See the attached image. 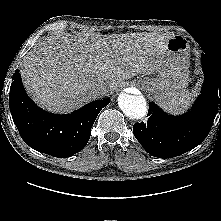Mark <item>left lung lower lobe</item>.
Listing matches in <instances>:
<instances>
[{"mask_svg": "<svg viewBox=\"0 0 221 221\" xmlns=\"http://www.w3.org/2000/svg\"><path fill=\"white\" fill-rule=\"evenodd\" d=\"M202 68L203 87L191 110L170 116L150 102L147 123L134 124L133 133L149 154L164 159L176 157L198 146L208 135L221 104V77L205 54Z\"/></svg>", "mask_w": 221, "mask_h": 221, "instance_id": "1", "label": "left lung lower lobe"}]
</instances>
